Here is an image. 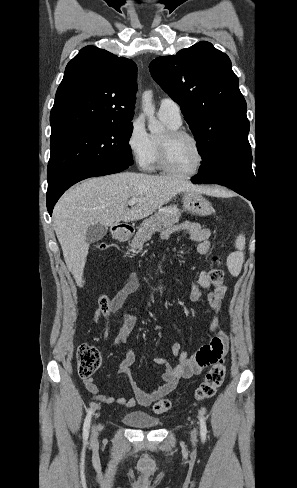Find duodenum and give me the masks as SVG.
Returning <instances> with one entry per match:
<instances>
[{
  "label": "duodenum",
  "mask_w": 297,
  "mask_h": 488,
  "mask_svg": "<svg viewBox=\"0 0 297 488\" xmlns=\"http://www.w3.org/2000/svg\"><path fill=\"white\" fill-rule=\"evenodd\" d=\"M113 235L118 241H126L131 236V230L128 226L119 224L113 227Z\"/></svg>",
  "instance_id": "1"
}]
</instances>
